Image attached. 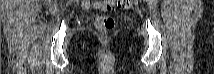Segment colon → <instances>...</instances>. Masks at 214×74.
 Returning <instances> with one entry per match:
<instances>
[{"mask_svg":"<svg viewBox=\"0 0 214 74\" xmlns=\"http://www.w3.org/2000/svg\"><path fill=\"white\" fill-rule=\"evenodd\" d=\"M134 1L133 0H118V1H99L95 2V7L101 9L103 11H113L116 7L129 9L132 7ZM91 2L84 1L83 7L89 8ZM115 19L110 16L102 17L98 21V28L102 30V32H109L115 28Z\"/></svg>","mask_w":214,"mask_h":74,"instance_id":"1","label":"colon"}]
</instances>
